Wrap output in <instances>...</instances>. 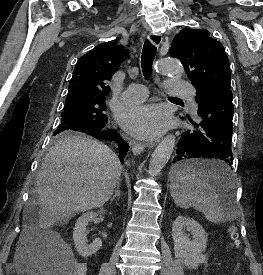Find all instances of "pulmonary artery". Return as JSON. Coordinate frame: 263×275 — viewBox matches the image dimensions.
<instances>
[{
    "mask_svg": "<svg viewBox=\"0 0 263 275\" xmlns=\"http://www.w3.org/2000/svg\"><path fill=\"white\" fill-rule=\"evenodd\" d=\"M166 91L172 96H182L186 98L192 110L197 111V103L195 100L196 91L194 87L182 80L168 79L165 83ZM147 89L142 84L132 83L121 95V101L125 104H137L143 102L147 97Z\"/></svg>",
    "mask_w": 263,
    "mask_h": 275,
    "instance_id": "obj_1",
    "label": "pulmonary artery"
}]
</instances>
